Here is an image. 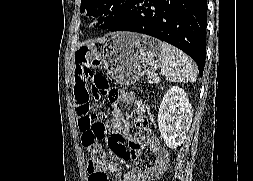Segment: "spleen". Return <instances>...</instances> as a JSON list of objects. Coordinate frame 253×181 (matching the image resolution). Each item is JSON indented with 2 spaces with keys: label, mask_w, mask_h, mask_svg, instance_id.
Listing matches in <instances>:
<instances>
[{
  "label": "spleen",
  "mask_w": 253,
  "mask_h": 181,
  "mask_svg": "<svg viewBox=\"0 0 253 181\" xmlns=\"http://www.w3.org/2000/svg\"><path fill=\"white\" fill-rule=\"evenodd\" d=\"M161 72L170 82H196L198 69L185 53L166 42H160Z\"/></svg>",
  "instance_id": "3e777b00"
}]
</instances>
